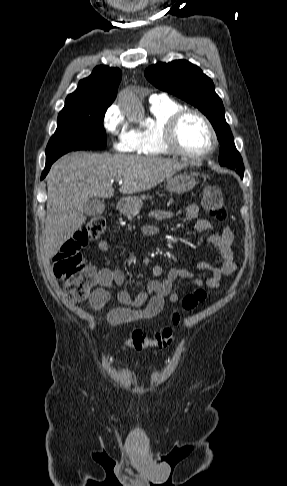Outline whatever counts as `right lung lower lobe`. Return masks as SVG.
I'll return each mask as SVG.
<instances>
[{
  "instance_id": "obj_1",
  "label": "right lung lower lobe",
  "mask_w": 287,
  "mask_h": 486,
  "mask_svg": "<svg viewBox=\"0 0 287 486\" xmlns=\"http://www.w3.org/2000/svg\"><path fill=\"white\" fill-rule=\"evenodd\" d=\"M52 164H53V162L46 163L45 169H44V171L42 172V175H41V179H43L47 175Z\"/></svg>"
}]
</instances>
